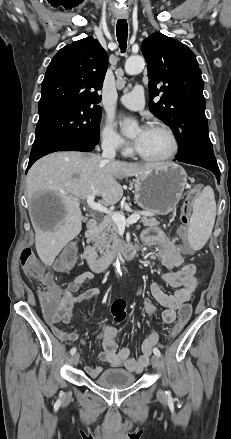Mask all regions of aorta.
Here are the masks:
<instances>
[{
    "label": "aorta",
    "instance_id": "762f6f07",
    "mask_svg": "<svg viewBox=\"0 0 231 439\" xmlns=\"http://www.w3.org/2000/svg\"><path fill=\"white\" fill-rule=\"evenodd\" d=\"M144 66H145V60L142 56H131L126 60L125 71L130 75H134L141 72L144 69ZM136 128H137V123L131 122L130 124H128L127 128L125 129V134L128 136L133 135L136 131ZM113 266L115 267L116 274L122 275V270L118 257L113 263Z\"/></svg>",
    "mask_w": 231,
    "mask_h": 439
}]
</instances>
